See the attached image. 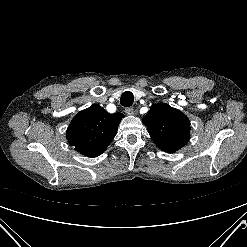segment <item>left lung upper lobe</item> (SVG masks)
Instances as JSON below:
<instances>
[{
    "label": "left lung upper lobe",
    "mask_w": 247,
    "mask_h": 247,
    "mask_svg": "<svg viewBox=\"0 0 247 247\" xmlns=\"http://www.w3.org/2000/svg\"><path fill=\"white\" fill-rule=\"evenodd\" d=\"M142 122L147 126L155 144L165 152H175L189 140V119L183 112L168 104L153 105Z\"/></svg>",
    "instance_id": "obj_1"
}]
</instances>
